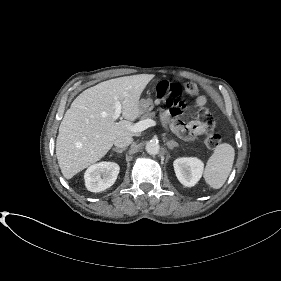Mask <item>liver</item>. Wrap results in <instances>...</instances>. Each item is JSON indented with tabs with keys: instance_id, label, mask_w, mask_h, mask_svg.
Listing matches in <instances>:
<instances>
[{
	"instance_id": "1",
	"label": "liver",
	"mask_w": 281,
	"mask_h": 281,
	"mask_svg": "<svg viewBox=\"0 0 281 281\" xmlns=\"http://www.w3.org/2000/svg\"><path fill=\"white\" fill-rule=\"evenodd\" d=\"M152 75L139 74L101 82L79 94L59 126L56 156L66 179L103 158L121 136H134L129 129L140 115V96ZM122 106L124 120L113 118L115 103Z\"/></svg>"
}]
</instances>
